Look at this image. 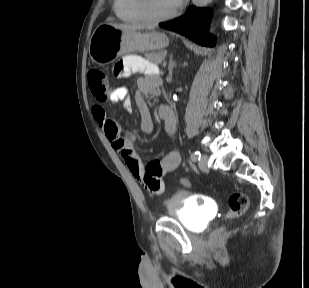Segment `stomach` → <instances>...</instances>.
I'll return each mask as SVG.
<instances>
[{
  "label": "stomach",
  "mask_w": 309,
  "mask_h": 288,
  "mask_svg": "<svg viewBox=\"0 0 309 288\" xmlns=\"http://www.w3.org/2000/svg\"><path fill=\"white\" fill-rule=\"evenodd\" d=\"M168 45L169 39L164 33H144L104 23L94 30L88 51L94 63L104 66L126 53L155 51Z\"/></svg>",
  "instance_id": "0dacf381"
}]
</instances>
